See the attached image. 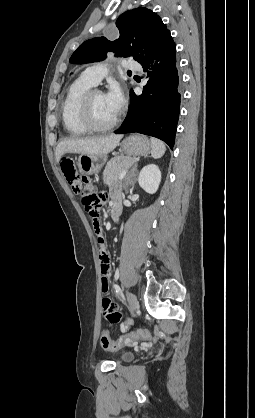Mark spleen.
I'll return each instance as SVG.
<instances>
[{"mask_svg":"<svg viewBox=\"0 0 255 418\" xmlns=\"http://www.w3.org/2000/svg\"><path fill=\"white\" fill-rule=\"evenodd\" d=\"M166 151V147L163 141L152 137L151 138V156L154 159L161 158Z\"/></svg>","mask_w":255,"mask_h":418,"instance_id":"1","label":"spleen"}]
</instances>
